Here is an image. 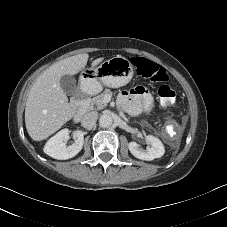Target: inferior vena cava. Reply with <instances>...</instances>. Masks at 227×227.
Segmentation results:
<instances>
[{
	"label": "inferior vena cava",
	"instance_id": "602c4592",
	"mask_svg": "<svg viewBox=\"0 0 227 227\" xmlns=\"http://www.w3.org/2000/svg\"><path fill=\"white\" fill-rule=\"evenodd\" d=\"M97 112H89L82 118L81 124L84 128L91 129L97 120Z\"/></svg>",
	"mask_w": 227,
	"mask_h": 227
}]
</instances>
